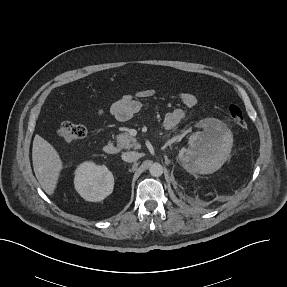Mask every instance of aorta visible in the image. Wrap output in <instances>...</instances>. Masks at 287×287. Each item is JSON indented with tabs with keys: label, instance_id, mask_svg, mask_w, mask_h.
Wrapping results in <instances>:
<instances>
[{
	"label": "aorta",
	"instance_id": "1",
	"mask_svg": "<svg viewBox=\"0 0 287 287\" xmlns=\"http://www.w3.org/2000/svg\"><path fill=\"white\" fill-rule=\"evenodd\" d=\"M149 172L153 177H160L163 174V167L160 163H153L149 168Z\"/></svg>",
	"mask_w": 287,
	"mask_h": 287
}]
</instances>
